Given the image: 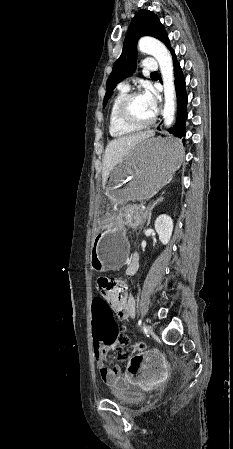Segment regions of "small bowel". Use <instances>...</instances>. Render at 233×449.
Here are the masks:
<instances>
[{"label":"small bowel","mask_w":233,"mask_h":449,"mask_svg":"<svg viewBox=\"0 0 233 449\" xmlns=\"http://www.w3.org/2000/svg\"><path fill=\"white\" fill-rule=\"evenodd\" d=\"M138 267V259L132 257L127 264V275L132 276L136 274ZM97 285L103 294L104 299L101 300L108 301L120 319L128 320L135 317V299L129 293V284L125 279L118 278L117 274H100ZM124 330V328L121 329V331ZM115 346L116 343L112 344L111 349H94L92 341V351L96 366L102 381L108 386H116L126 380L121 373L120 367L109 368L107 366V354ZM150 352L151 354H145V359L143 360L144 368H137L136 375H129L128 379L129 384H140L141 390H154L155 384L158 383V377H165L166 372L169 370L168 363H163L164 356L163 354H158L157 348H152Z\"/></svg>","instance_id":"c3829d8e"}]
</instances>
